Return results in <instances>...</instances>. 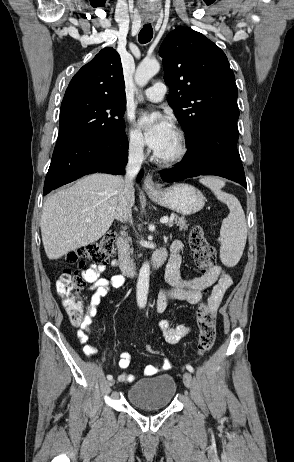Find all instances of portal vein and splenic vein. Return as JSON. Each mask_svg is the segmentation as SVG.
<instances>
[{
    "instance_id": "portal-vein-and-splenic-vein-1",
    "label": "portal vein and splenic vein",
    "mask_w": 294,
    "mask_h": 462,
    "mask_svg": "<svg viewBox=\"0 0 294 462\" xmlns=\"http://www.w3.org/2000/svg\"><path fill=\"white\" fill-rule=\"evenodd\" d=\"M170 221H171V220H170L168 217H163V218H161V220H160V222H161L162 224H166V223H168V222H170Z\"/></svg>"
}]
</instances>
